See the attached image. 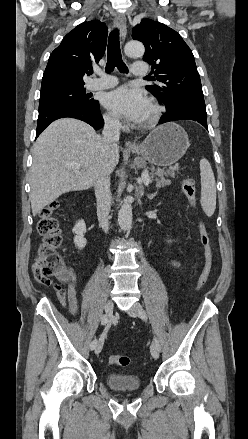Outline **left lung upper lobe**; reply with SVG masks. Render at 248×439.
<instances>
[{
    "label": "left lung upper lobe",
    "mask_w": 248,
    "mask_h": 439,
    "mask_svg": "<svg viewBox=\"0 0 248 439\" xmlns=\"http://www.w3.org/2000/svg\"><path fill=\"white\" fill-rule=\"evenodd\" d=\"M132 37L145 46L143 60L155 68V77L161 83L146 86L170 112L181 105L205 108L200 76L194 56L188 45L175 30L143 19L132 31Z\"/></svg>",
    "instance_id": "1"
}]
</instances>
